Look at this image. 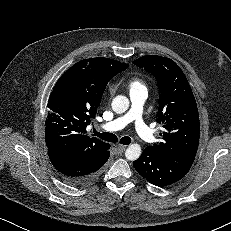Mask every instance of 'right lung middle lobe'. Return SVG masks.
<instances>
[{
	"label": "right lung middle lobe",
	"mask_w": 231,
	"mask_h": 231,
	"mask_svg": "<svg viewBox=\"0 0 231 231\" xmlns=\"http://www.w3.org/2000/svg\"><path fill=\"white\" fill-rule=\"evenodd\" d=\"M72 87V81L69 79H62L57 81L53 91L55 90L59 95H67L71 92Z\"/></svg>",
	"instance_id": "right-lung-middle-lobe-1"
}]
</instances>
